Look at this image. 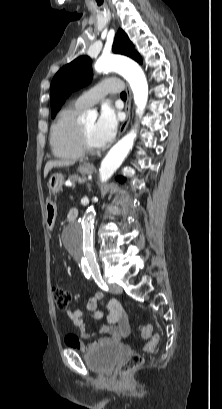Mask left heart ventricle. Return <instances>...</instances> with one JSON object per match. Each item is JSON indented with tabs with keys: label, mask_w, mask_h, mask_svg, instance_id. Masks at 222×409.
Instances as JSON below:
<instances>
[{
	"label": "left heart ventricle",
	"mask_w": 222,
	"mask_h": 409,
	"mask_svg": "<svg viewBox=\"0 0 222 409\" xmlns=\"http://www.w3.org/2000/svg\"><path fill=\"white\" fill-rule=\"evenodd\" d=\"M95 125V121H88L83 123L89 144L94 148H98L94 138Z\"/></svg>",
	"instance_id": "1"
}]
</instances>
